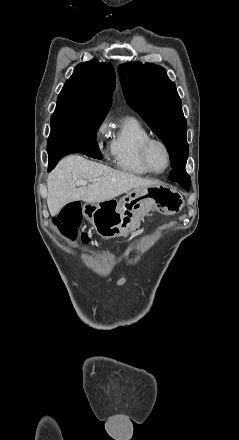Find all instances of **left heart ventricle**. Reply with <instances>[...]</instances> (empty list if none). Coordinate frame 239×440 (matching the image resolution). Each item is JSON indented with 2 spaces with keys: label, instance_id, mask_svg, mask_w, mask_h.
<instances>
[{
  "label": "left heart ventricle",
  "instance_id": "left-heart-ventricle-1",
  "mask_svg": "<svg viewBox=\"0 0 239 440\" xmlns=\"http://www.w3.org/2000/svg\"><path fill=\"white\" fill-rule=\"evenodd\" d=\"M150 159L156 171H163L167 166L166 152L160 145H154L151 148Z\"/></svg>",
  "mask_w": 239,
  "mask_h": 440
}]
</instances>
